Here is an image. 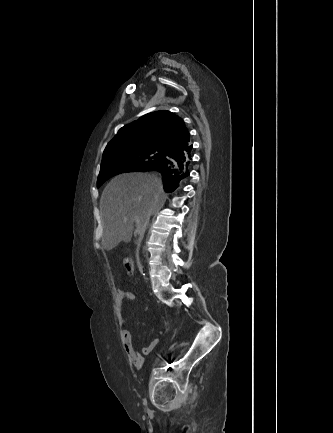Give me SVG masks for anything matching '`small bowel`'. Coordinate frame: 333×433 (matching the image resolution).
Listing matches in <instances>:
<instances>
[{
  "mask_svg": "<svg viewBox=\"0 0 333 433\" xmlns=\"http://www.w3.org/2000/svg\"><path fill=\"white\" fill-rule=\"evenodd\" d=\"M117 298L122 303L123 301H132L136 298V296L131 291L118 290ZM119 324L121 326V341L124 350L133 366H135L136 368H140L144 363L145 356L151 353L153 349L158 345L159 339H153L149 343V345L142 348L141 352H138L134 347L132 335L127 329L128 321L122 310L120 311Z\"/></svg>",
  "mask_w": 333,
  "mask_h": 433,
  "instance_id": "small-bowel-1",
  "label": "small bowel"
}]
</instances>
